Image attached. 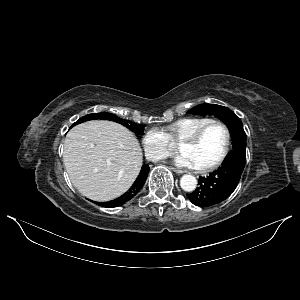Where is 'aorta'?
I'll return each mask as SVG.
<instances>
[{
  "instance_id": "obj_1",
  "label": "aorta",
  "mask_w": 300,
  "mask_h": 300,
  "mask_svg": "<svg viewBox=\"0 0 300 300\" xmlns=\"http://www.w3.org/2000/svg\"><path fill=\"white\" fill-rule=\"evenodd\" d=\"M180 186L184 191L192 192L197 186V179L191 174H185L180 179Z\"/></svg>"
}]
</instances>
